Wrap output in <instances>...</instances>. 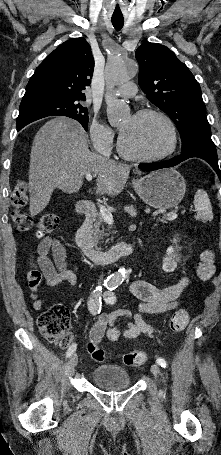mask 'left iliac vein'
Listing matches in <instances>:
<instances>
[{
    "instance_id": "4c4485c4",
    "label": "left iliac vein",
    "mask_w": 221,
    "mask_h": 455,
    "mask_svg": "<svg viewBox=\"0 0 221 455\" xmlns=\"http://www.w3.org/2000/svg\"><path fill=\"white\" fill-rule=\"evenodd\" d=\"M151 371L154 374V376L157 378L160 376L161 369L157 364H152L151 365Z\"/></svg>"
}]
</instances>
